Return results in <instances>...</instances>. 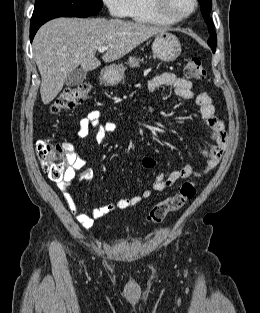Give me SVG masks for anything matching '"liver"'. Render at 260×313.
<instances>
[{"instance_id":"6515ba94","label":"liver","mask_w":260,"mask_h":313,"mask_svg":"<svg viewBox=\"0 0 260 313\" xmlns=\"http://www.w3.org/2000/svg\"><path fill=\"white\" fill-rule=\"evenodd\" d=\"M166 31V28L120 19L57 18L47 22L33 40L43 104L54 100L67 75L78 66L87 72L101 65L95 57L99 46L107 47L102 59L108 63L130 53L153 35Z\"/></svg>"}]
</instances>
